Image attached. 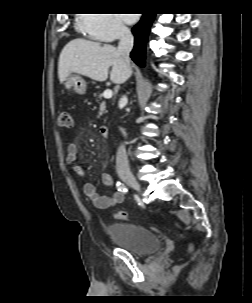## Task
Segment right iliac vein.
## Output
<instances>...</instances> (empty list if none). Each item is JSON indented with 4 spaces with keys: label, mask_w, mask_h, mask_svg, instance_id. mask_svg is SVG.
<instances>
[{
    "label": "right iliac vein",
    "mask_w": 252,
    "mask_h": 303,
    "mask_svg": "<svg viewBox=\"0 0 252 303\" xmlns=\"http://www.w3.org/2000/svg\"><path fill=\"white\" fill-rule=\"evenodd\" d=\"M121 179L133 189L140 191V184L132 174L130 173L121 174Z\"/></svg>",
    "instance_id": "63e3f726"
}]
</instances>
